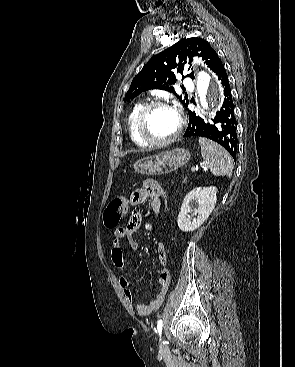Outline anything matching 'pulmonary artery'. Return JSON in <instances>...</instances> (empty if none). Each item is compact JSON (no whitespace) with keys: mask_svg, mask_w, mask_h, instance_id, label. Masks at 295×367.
<instances>
[{"mask_svg":"<svg viewBox=\"0 0 295 367\" xmlns=\"http://www.w3.org/2000/svg\"><path fill=\"white\" fill-rule=\"evenodd\" d=\"M183 84L186 88L188 89H192L193 88V83L189 78H185L183 81Z\"/></svg>","mask_w":295,"mask_h":367,"instance_id":"1","label":"pulmonary artery"}]
</instances>
